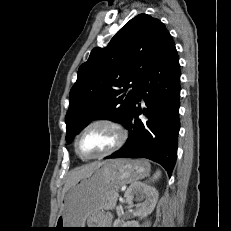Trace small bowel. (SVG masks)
<instances>
[{"label":"small bowel","mask_w":231,"mask_h":231,"mask_svg":"<svg viewBox=\"0 0 231 231\" xmlns=\"http://www.w3.org/2000/svg\"><path fill=\"white\" fill-rule=\"evenodd\" d=\"M104 218H105V219L108 218V215H104Z\"/></svg>","instance_id":"small-bowel-1"}]
</instances>
